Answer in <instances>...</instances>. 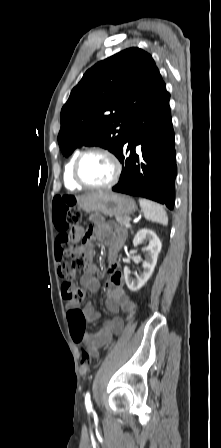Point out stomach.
I'll return each mask as SVG.
<instances>
[{"instance_id": "stomach-1", "label": "stomach", "mask_w": 221, "mask_h": 448, "mask_svg": "<svg viewBox=\"0 0 221 448\" xmlns=\"http://www.w3.org/2000/svg\"><path fill=\"white\" fill-rule=\"evenodd\" d=\"M86 212H98L107 216H129L137 210L134 200L110 191H100L84 195L78 200Z\"/></svg>"}]
</instances>
